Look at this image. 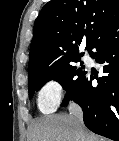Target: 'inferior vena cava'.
<instances>
[{
  "mask_svg": "<svg viewBox=\"0 0 119 141\" xmlns=\"http://www.w3.org/2000/svg\"><path fill=\"white\" fill-rule=\"evenodd\" d=\"M70 115L74 116L78 123L83 125V111L79 105L74 102H70L68 106Z\"/></svg>",
  "mask_w": 119,
  "mask_h": 141,
  "instance_id": "602c4592",
  "label": "inferior vena cava"
}]
</instances>
